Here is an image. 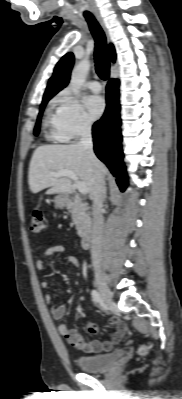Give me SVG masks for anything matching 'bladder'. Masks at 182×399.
Masks as SVG:
<instances>
[{"label": "bladder", "mask_w": 182, "mask_h": 399, "mask_svg": "<svg viewBox=\"0 0 182 399\" xmlns=\"http://www.w3.org/2000/svg\"><path fill=\"white\" fill-rule=\"evenodd\" d=\"M123 356L124 351L116 349L104 355L93 357L79 356L76 358V364L85 373H99L111 368Z\"/></svg>", "instance_id": "bladder-1"}]
</instances>
